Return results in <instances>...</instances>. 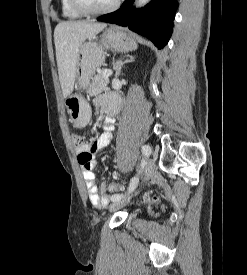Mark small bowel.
Masks as SVG:
<instances>
[{"mask_svg":"<svg viewBox=\"0 0 247 275\" xmlns=\"http://www.w3.org/2000/svg\"><path fill=\"white\" fill-rule=\"evenodd\" d=\"M96 104L108 110L104 132L92 143L84 144L78 148V162L81 166L82 174L88 189L90 201L96 206H104L108 203V194L103 183L98 186L95 182L94 170L97 167L95 154L106 147L113 138L114 113L118 110L120 100L115 95H106L98 98Z\"/></svg>","mask_w":247,"mask_h":275,"instance_id":"small-bowel-1","label":"small bowel"}]
</instances>
